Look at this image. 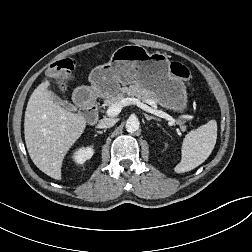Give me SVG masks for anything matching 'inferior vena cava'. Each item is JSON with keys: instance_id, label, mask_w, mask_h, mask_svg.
<instances>
[{"instance_id": "inferior-vena-cava-1", "label": "inferior vena cava", "mask_w": 252, "mask_h": 252, "mask_svg": "<svg viewBox=\"0 0 252 252\" xmlns=\"http://www.w3.org/2000/svg\"><path fill=\"white\" fill-rule=\"evenodd\" d=\"M116 123V120L113 118H104L101 119L98 123V127L100 128H110L112 126H114Z\"/></svg>"}]
</instances>
